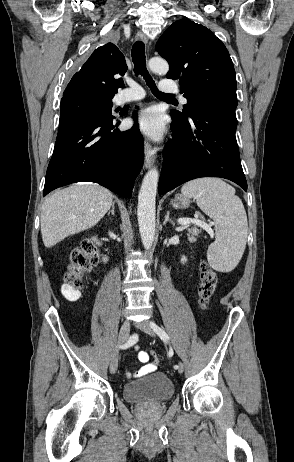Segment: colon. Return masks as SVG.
<instances>
[{"label":"colon","instance_id":"5ec220e1","mask_svg":"<svg viewBox=\"0 0 294 462\" xmlns=\"http://www.w3.org/2000/svg\"><path fill=\"white\" fill-rule=\"evenodd\" d=\"M105 259L100 250V241L97 238H88L82 241L79 247L74 248L66 265L64 283L61 287L62 295L68 300H76L85 285V274L98 262ZM218 278L215 271L208 264L200 266L199 303L206 309L216 291ZM152 362L158 364L159 357L151 353Z\"/></svg>","mask_w":294,"mask_h":462}]
</instances>
